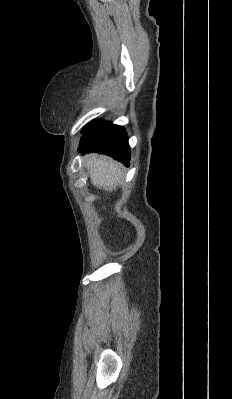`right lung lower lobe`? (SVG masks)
<instances>
[{"label": "right lung lower lobe", "instance_id": "1", "mask_svg": "<svg viewBox=\"0 0 232 399\" xmlns=\"http://www.w3.org/2000/svg\"><path fill=\"white\" fill-rule=\"evenodd\" d=\"M82 133L85 134L80 141L83 154L103 153L128 166L130 159L128 137L123 127L102 120L92 121L85 126Z\"/></svg>", "mask_w": 232, "mask_h": 399}]
</instances>
